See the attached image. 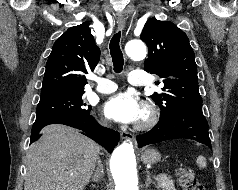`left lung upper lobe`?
<instances>
[{"mask_svg":"<svg viewBox=\"0 0 238 190\" xmlns=\"http://www.w3.org/2000/svg\"><path fill=\"white\" fill-rule=\"evenodd\" d=\"M140 38L149 49L144 70L163 79V93L150 96L161 116L178 108H202L195 56L187 35L172 22L153 18L146 22Z\"/></svg>","mask_w":238,"mask_h":190,"instance_id":"5c2ea615","label":"left lung upper lobe"}]
</instances>
